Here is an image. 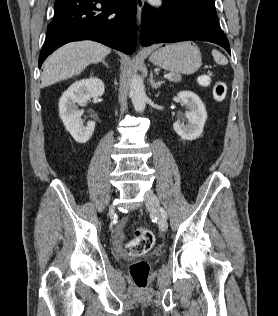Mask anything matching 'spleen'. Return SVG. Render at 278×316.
Returning <instances> with one entry per match:
<instances>
[{
	"label": "spleen",
	"instance_id": "obj_1",
	"mask_svg": "<svg viewBox=\"0 0 278 316\" xmlns=\"http://www.w3.org/2000/svg\"><path fill=\"white\" fill-rule=\"evenodd\" d=\"M212 56L218 64L226 65L228 63L227 58L216 49L212 50Z\"/></svg>",
	"mask_w": 278,
	"mask_h": 316
}]
</instances>
